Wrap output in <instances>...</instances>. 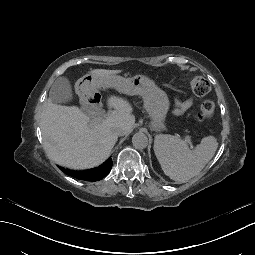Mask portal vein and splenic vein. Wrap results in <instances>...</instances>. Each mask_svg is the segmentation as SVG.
<instances>
[{
    "label": "portal vein and splenic vein",
    "mask_w": 255,
    "mask_h": 255,
    "mask_svg": "<svg viewBox=\"0 0 255 255\" xmlns=\"http://www.w3.org/2000/svg\"><path fill=\"white\" fill-rule=\"evenodd\" d=\"M105 118H110V113H105ZM100 120H103V115H98V117H94V122H99ZM185 141L188 143V146L190 148H193L195 146V143L192 141V137L190 135H187L185 137Z\"/></svg>",
    "instance_id": "18ae733b"
}]
</instances>
